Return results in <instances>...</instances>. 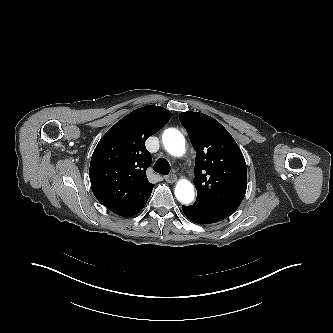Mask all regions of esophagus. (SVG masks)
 I'll use <instances>...</instances> for the list:
<instances>
[{"label": "esophagus", "instance_id": "1", "mask_svg": "<svg viewBox=\"0 0 333 333\" xmlns=\"http://www.w3.org/2000/svg\"><path fill=\"white\" fill-rule=\"evenodd\" d=\"M164 179L168 182V183H174L177 180V176L175 174H170L168 176H165Z\"/></svg>", "mask_w": 333, "mask_h": 333}]
</instances>
